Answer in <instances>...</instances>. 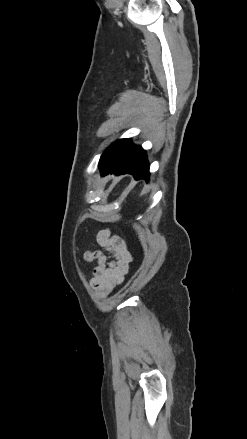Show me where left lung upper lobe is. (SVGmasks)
<instances>
[{
  "label": "left lung upper lobe",
  "instance_id": "left-lung-upper-lobe-1",
  "mask_svg": "<svg viewBox=\"0 0 247 439\" xmlns=\"http://www.w3.org/2000/svg\"><path fill=\"white\" fill-rule=\"evenodd\" d=\"M133 145L130 139L117 140L104 151L99 167H108L113 170L124 168Z\"/></svg>",
  "mask_w": 247,
  "mask_h": 439
}]
</instances>
